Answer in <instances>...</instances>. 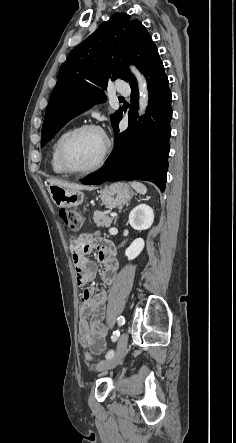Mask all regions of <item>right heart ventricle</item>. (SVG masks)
Masks as SVG:
<instances>
[{
  "mask_svg": "<svg viewBox=\"0 0 236 443\" xmlns=\"http://www.w3.org/2000/svg\"><path fill=\"white\" fill-rule=\"evenodd\" d=\"M73 130V128H67L63 130L54 140L52 148H51V155H50V165L53 170V172L57 174H65L66 172L63 170L59 163L58 159V151L61 142L63 139Z\"/></svg>",
  "mask_w": 236,
  "mask_h": 443,
  "instance_id": "right-heart-ventricle-1",
  "label": "right heart ventricle"
}]
</instances>
